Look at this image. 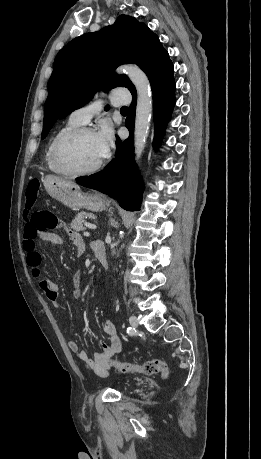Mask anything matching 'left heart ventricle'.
<instances>
[{"mask_svg": "<svg viewBox=\"0 0 261 459\" xmlns=\"http://www.w3.org/2000/svg\"><path fill=\"white\" fill-rule=\"evenodd\" d=\"M101 159L103 158L95 134L82 135L70 141L62 153L63 164L73 170L91 168Z\"/></svg>", "mask_w": 261, "mask_h": 459, "instance_id": "b2bd125f", "label": "left heart ventricle"}]
</instances>
